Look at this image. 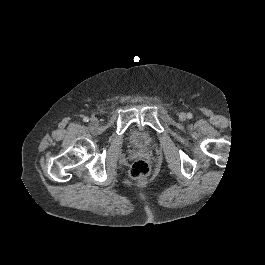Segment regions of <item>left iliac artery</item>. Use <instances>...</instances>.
<instances>
[{
  "mask_svg": "<svg viewBox=\"0 0 265 265\" xmlns=\"http://www.w3.org/2000/svg\"><path fill=\"white\" fill-rule=\"evenodd\" d=\"M187 117H188L189 119H191V118L193 117L192 113H188V114H187Z\"/></svg>",
  "mask_w": 265,
  "mask_h": 265,
  "instance_id": "44dca946",
  "label": "left iliac artery"
}]
</instances>
